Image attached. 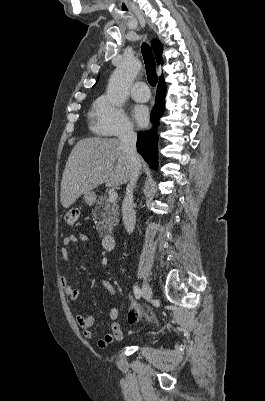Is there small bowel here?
Here are the masks:
<instances>
[{
	"label": "small bowel",
	"instance_id": "1",
	"mask_svg": "<svg viewBox=\"0 0 265 401\" xmlns=\"http://www.w3.org/2000/svg\"><path fill=\"white\" fill-rule=\"evenodd\" d=\"M89 240H90V238L86 234H79V235L72 234V235L66 236L63 239V242H62L63 247L61 248V251H60L62 260L67 261L69 259V250L67 248L69 245L77 244L79 242L87 243V242H89ZM61 283L64 287L66 296L71 301H75L79 296L78 289H76L70 283V279L67 276L61 277ZM99 283L107 290V292L110 294L111 297H113V298L116 297L117 291H116L115 286L111 282H109L105 279H100ZM132 311H135L136 313H138V309H137V306L135 303L131 304L128 315ZM109 317L112 320L111 332L107 333L103 337L96 340V344L100 348H106L110 344H112L116 341H121L124 337L121 325L118 322L119 311L116 307H112L110 309ZM76 321H77L79 327L81 328L84 337L88 340H93L94 334H93L92 328L98 322L96 320L95 316L93 315V313L89 312L86 315L77 314ZM128 322L130 323L129 319H128Z\"/></svg>",
	"mask_w": 265,
	"mask_h": 401
}]
</instances>
